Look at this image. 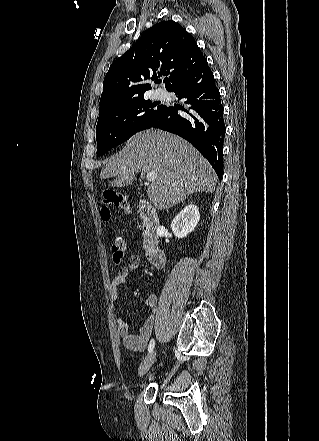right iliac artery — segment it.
I'll return each mask as SVG.
<instances>
[{
    "instance_id": "obj_1",
    "label": "right iliac artery",
    "mask_w": 319,
    "mask_h": 441,
    "mask_svg": "<svg viewBox=\"0 0 319 441\" xmlns=\"http://www.w3.org/2000/svg\"><path fill=\"white\" fill-rule=\"evenodd\" d=\"M154 346H155V341H154V339H151V341L149 343V346H148V352L149 353H151L153 351Z\"/></svg>"
}]
</instances>
